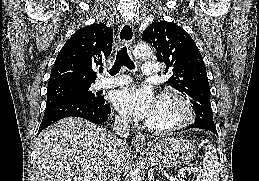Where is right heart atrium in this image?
Returning a JSON list of instances; mask_svg holds the SVG:
<instances>
[{"label": "right heart atrium", "mask_w": 259, "mask_h": 181, "mask_svg": "<svg viewBox=\"0 0 259 181\" xmlns=\"http://www.w3.org/2000/svg\"><path fill=\"white\" fill-rule=\"evenodd\" d=\"M118 120H119L121 123H126V122H127V119H126V117H124V116H119V117H118Z\"/></svg>", "instance_id": "obj_1"}]
</instances>
